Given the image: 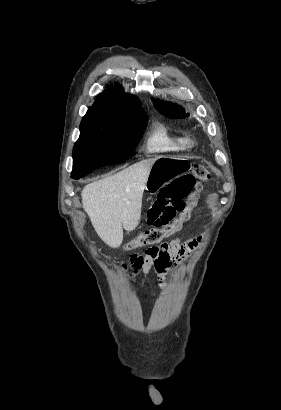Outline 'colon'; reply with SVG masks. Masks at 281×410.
I'll return each mask as SVG.
<instances>
[{
  "mask_svg": "<svg viewBox=\"0 0 281 410\" xmlns=\"http://www.w3.org/2000/svg\"><path fill=\"white\" fill-rule=\"evenodd\" d=\"M210 173L204 166H196L192 173L176 179L161 190L148 212L150 228L141 232L126 245L133 250L159 243L164 237L177 231L190 216L201 183L209 179Z\"/></svg>",
  "mask_w": 281,
  "mask_h": 410,
  "instance_id": "1",
  "label": "colon"
}]
</instances>
